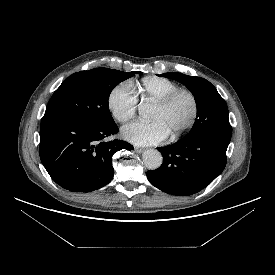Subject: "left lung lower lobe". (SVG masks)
<instances>
[{
  "label": "left lung lower lobe",
  "instance_id": "left-lung-lower-lobe-1",
  "mask_svg": "<svg viewBox=\"0 0 275 275\" xmlns=\"http://www.w3.org/2000/svg\"><path fill=\"white\" fill-rule=\"evenodd\" d=\"M230 140L192 137L159 147L162 165L147 171L150 183L163 192L188 196L207 187L225 168Z\"/></svg>",
  "mask_w": 275,
  "mask_h": 275
}]
</instances>
